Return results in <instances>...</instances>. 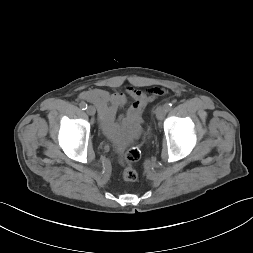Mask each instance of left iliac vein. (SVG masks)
Masks as SVG:
<instances>
[{"mask_svg":"<svg viewBox=\"0 0 253 253\" xmlns=\"http://www.w3.org/2000/svg\"><path fill=\"white\" fill-rule=\"evenodd\" d=\"M167 109L165 105H160L156 108V117L159 120H162L166 115Z\"/></svg>","mask_w":253,"mask_h":253,"instance_id":"1","label":"left iliac vein"}]
</instances>
